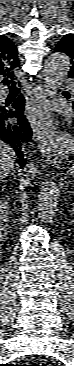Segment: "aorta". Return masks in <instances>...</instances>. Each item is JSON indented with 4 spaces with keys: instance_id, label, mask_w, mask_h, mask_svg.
I'll list each match as a JSON object with an SVG mask.
<instances>
[{
    "instance_id": "762f6f07",
    "label": "aorta",
    "mask_w": 74,
    "mask_h": 366,
    "mask_svg": "<svg viewBox=\"0 0 74 366\" xmlns=\"http://www.w3.org/2000/svg\"><path fill=\"white\" fill-rule=\"evenodd\" d=\"M70 57L63 52L52 53L45 62L44 87L49 96L57 95L70 69ZM59 202V188L54 179H47L39 188L38 218L44 224L51 223Z\"/></svg>"
}]
</instances>
